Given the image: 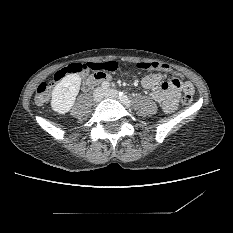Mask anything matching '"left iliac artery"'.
<instances>
[{
    "instance_id": "obj_1",
    "label": "left iliac artery",
    "mask_w": 233,
    "mask_h": 233,
    "mask_svg": "<svg viewBox=\"0 0 233 233\" xmlns=\"http://www.w3.org/2000/svg\"><path fill=\"white\" fill-rule=\"evenodd\" d=\"M119 98L121 99V101H123L126 104H130V99L127 97V95L123 92H119Z\"/></svg>"
}]
</instances>
